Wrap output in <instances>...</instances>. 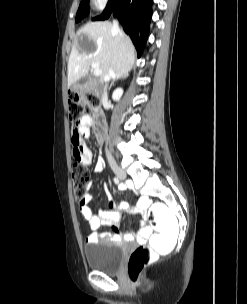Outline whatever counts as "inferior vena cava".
<instances>
[{
  "mask_svg": "<svg viewBox=\"0 0 247 304\" xmlns=\"http://www.w3.org/2000/svg\"><path fill=\"white\" fill-rule=\"evenodd\" d=\"M113 30L114 31H118L119 27H118V22L114 21L113 22ZM114 77V71L112 68L109 69L107 76L105 77V81H109L111 78ZM107 100V85L104 86V90H103V95H102V101ZM106 155H107V159L108 162L110 163V165H114L115 161L112 157V155L110 154V152L108 150H106Z\"/></svg>",
  "mask_w": 247,
  "mask_h": 304,
  "instance_id": "1",
  "label": "inferior vena cava"
}]
</instances>
